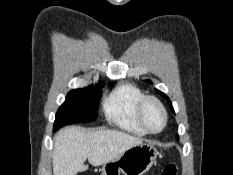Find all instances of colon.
<instances>
[{"mask_svg":"<svg viewBox=\"0 0 233 175\" xmlns=\"http://www.w3.org/2000/svg\"><path fill=\"white\" fill-rule=\"evenodd\" d=\"M160 175H178L177 165L175 163L167 164Z\"/></svg>","mask_w":233,"mask_h":175,"instance_id":"5ec220e1","label":"colon"}]
</instances>
